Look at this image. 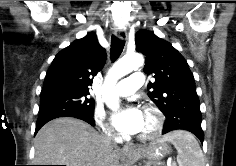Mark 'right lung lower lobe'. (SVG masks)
Wrapping results in <instances>:
<instances>
[{"instance_id":"98d812e1","label":"right lung lower lobe","mask_w":236,"mask_h":166,"mask_svg":"<svg viewBox=\"0 0 236 166\" xmlns=\"http://www.w3.org/2000/svg\"><path fill=\"white\" fill-rule=\"evenodd\" d=\"M66 116L84 120L92 126L95 125L94 120H93V115L87 114V113H85L84 111H81V110L71 109V110H67V111H64V112H60V113L40 116L38 118V121H37V124H36L35 134L48 121H50L52 119H55V118H58V117H66Z\"/></svg>"}]
</instances>
